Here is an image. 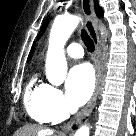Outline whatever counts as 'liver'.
Masks as SVG:
<instances>
[{
	"mask_svg": "<svg viewBox=\"0 0 136 136\" xmlns=\"http://www.w3.org/2000/svg\"><path fill=\"white\" fill-rule=\"evenodd\" d=\"M52 134L51 129H43L39 125H25L14 136H52Z\"/></svg>",
	"mask_w": 136,
	"mask_h": 136,
	"instance_id": "liver-1",
	"label": "liver"
}]
</instances>
